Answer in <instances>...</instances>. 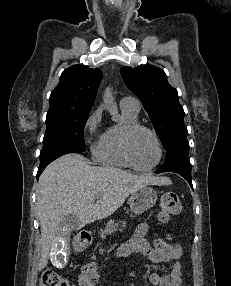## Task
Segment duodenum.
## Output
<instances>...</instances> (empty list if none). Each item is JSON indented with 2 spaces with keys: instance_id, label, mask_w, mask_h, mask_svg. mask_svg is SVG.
<instances>
[{
  "instance_id": "duodenum-1",
  "label": "duodenum",
  "mask_w": 231,
  "mask_h": 286,
  "mask_svg": "<svg viewBox=\"0 0 231 286\" xmlns=\"http://www.w3.org/2000/svg\"><path fill=\"white\" fill-rule=\"evenodd\" d=\"M91 241H92V236L90 234H84L77 241V247L79 249H85L90 245Z\"/></svg>"
}]
</instances>
